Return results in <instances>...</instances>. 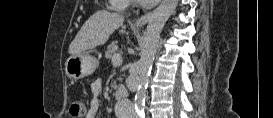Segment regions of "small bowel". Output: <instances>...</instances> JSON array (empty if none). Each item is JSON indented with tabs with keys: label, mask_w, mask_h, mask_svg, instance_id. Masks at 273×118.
<instances>
[{
	"label": "small bowel",
	"mask_w": 273,
	"mask_h": 118,
	"mask_svg": "<svg viewBox=\"0 0 273 118\" xmlns=\"http://www.w3.org/2000/svg\"><path fill=\"white\" fill-rule=\"evenodd\" d=\"M102 91V81L95 80L91 85L92 98L89 101V110L87 118H94L99 110L100 102L98 99L99 94ZM129 112V107L124 104H116L115 113L118 118H124Z\"/></svg>",
	"instance_id": "obj_1"
}]
</instances>
